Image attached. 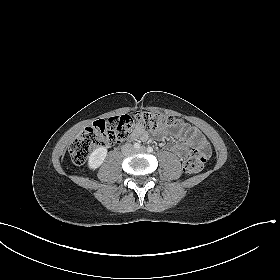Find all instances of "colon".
I'll use <instances>...</instances> for the list:
<instances>
[{"label":"colon","instance_id":"1","mask_svg":"<svg viewBox=\"0 0 280 280\" xmlns=\"http://www.w3.org/2000/svg\"><path fill=\"white\" fill-rule=\"evenodd\" d=\"M145 128L156 130L162 127H173L180 120L172 115L138 111L131 115L95 121L70 146L71 158L75 164H83L89 154L98 147L116 145L125 140L129 128L134 123ZM210 155V149H194L186 158L183 170L186 174H196L202 170Z\"/></svg>","mask_w":280,"mask_h":280}]
</instances>
